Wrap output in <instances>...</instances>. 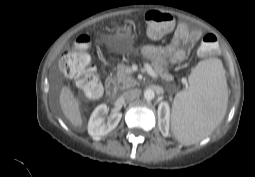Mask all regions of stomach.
<instances>
[{
  "label": "stomach",
  "mask_w": 255,
  "mask_h": 177,
  "mask_svg": "<svg viewBox=\"0 0 255 177\" xmlns=\"http://www.w3.org/2000/svg\"><path fill=\"white\" fill-rule=\"evenodd\" d=\"M113 48L117 52H126L132 50L133 39L132 31L127 26L117 27L115 33L112 35Z\"/></svg>",
  "instance_id": "1"
}]
</instances>
